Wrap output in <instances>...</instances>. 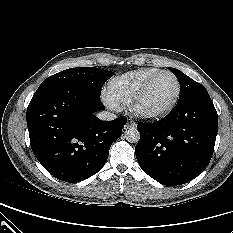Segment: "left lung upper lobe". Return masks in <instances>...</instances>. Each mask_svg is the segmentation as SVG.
<instances>
[{"instance_id":"1","label":"left lung upper lobe","mask_w":233,"mask_h":233,"mask_svg":"<svg viewBox=\"0 0 233 233\" xmlns=\"http://www.w3.org/2000/svg\"><path fill=\"white\" fill-rule=\"evenodd\" d=\"M170 71L177 77L179 83H180V96L179 100L185 99L188 96L198 92V91H204L206 90L203 85L200 83L194 81L187 75H185L183 72H181L178 69L170 68ZM178 100V101H179Z\"/></svg>"}]
</instances>
